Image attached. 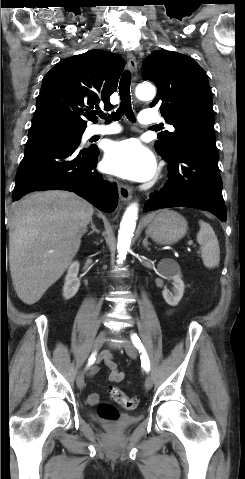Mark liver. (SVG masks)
<instances>
[{
	"instance_id": "6515ba94",
	"label": "liver",
	"mask_w": 245,
	"mask_h": 479,
	"mask_svg": "<svg viewBox=\"0 0 245 479\" xmlns=\"http://www.w3.org/2000/svg\"><path fill=\"white\" fill-rule=\"evenodd\" d=\"M94 209L67 191L32 193L13 204L9 262L17 296L28 305L40 300L77 254Z\"/></svg>"
}]
</instances>
